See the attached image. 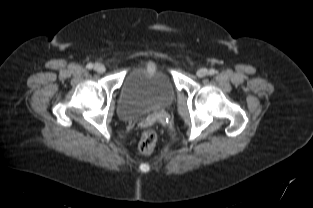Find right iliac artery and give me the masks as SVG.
I'll return each mask as SVG.
<instances>
[{"instance_id": "82829eb1", "label": "right iliac artery", "mask_w": 313, "mask_h": 208, "mask_svg": "<svg viewBox=\"0 0 313 208\" xmlns=\"http://www.w3.org/2000/svg\"><path fill=\"white\" fill-rule=\"evenodd\" d=\"M86 68L92 69V68H93V64H92V63H88L87 66H86Z\"/></svg>"}]
</instances>
